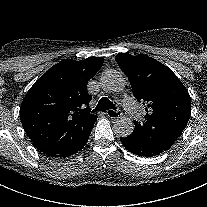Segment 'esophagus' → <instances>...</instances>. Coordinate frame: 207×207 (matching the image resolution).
Segmentation results:
<instances>
[{
	"instance_id": "esophagus-1",
	"label": "esophagus",
	"mask_w": 207,
	"mask_h": 207,
	"mask_svg": "<svg viewBox=\"0 0 207 207\" xmlns=\"http://www.w3.org/2000/svg\"><path fill=\"white\" fill-rule=\"evenodd\" d=\"M106 114L111 119H117L121 116L122 113L120 110L110 109V110L106 111Z\"/></svg>"
}]
</instances>
